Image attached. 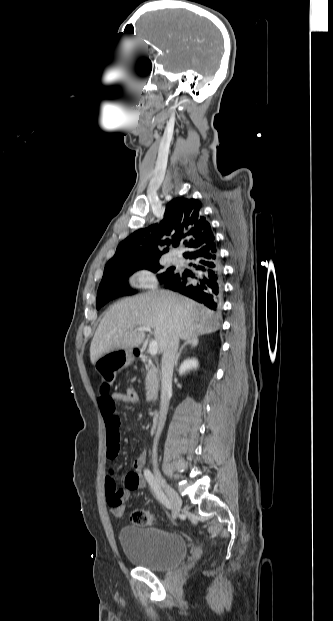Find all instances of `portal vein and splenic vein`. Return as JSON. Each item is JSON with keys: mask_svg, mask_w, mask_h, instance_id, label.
<instances>
[{"mask_svg": "<svg viewBox=\"0 0 333 621\" xmlns=\"http://www.w3.org/2000/svg\"><path fill=\"white\" fill-rule=\"evenodd\" d=\"M137 331H146V332H151V328L148 326H142V327H137L136 328ZM158 352V343L157 340H151L149 343V353L151 355H156Z\"/></svg>", "mask_w": 333, "mask_h": 621, "instance_id": "1", "label": "portal vein and splenic vein"}]
</instances>
